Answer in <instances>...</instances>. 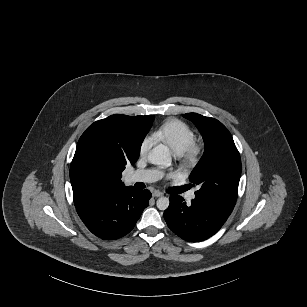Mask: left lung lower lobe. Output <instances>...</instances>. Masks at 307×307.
<instances>
[{"instance_id": "0a47b994", "label": "left lung lower lobe", "mask_w": 307, "mask_h": 307, "mask_svg": "<svg viewBox=\"0 0 307 307\" xmlns=\"http://www.w3.org/2000/svg\"><path fill=\"white\" fill-rule=\"evenodd\" d=\"M228 214L202 204L195 199L186 205L181 196H170L164 212L168 227L184 240L203 241L214 235L225 223Z\"/></svg>"}]
</instances>
